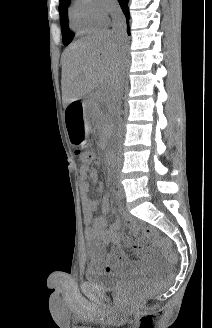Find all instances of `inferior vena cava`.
Returning a JSON list of instances; mask_svg holds the SVG:
<instances>
[{"label": "inferior vena cava", "mask_w": 212, "mask_h": 328, "mask_svg": "<svg viewBox=\"0 0 212 328\" xmlns=\"http://www.w3.org/2000/svg\"><path fill=\"white\" fill-rule=\"evenodd\" d=\"M109 12L112 17V25H113L112 32L119 39H121L123 41L125 38V35H126V20L122 13V10L117 3H113L110 6ZM123 89H124V81H123L122 76L120 75L116 82V85H115V88H114V91L112 94L113 101L116 106V124L118 125L119 140L122 139V133H123V122H122L121 113H120Z\"/></svg>", "instance_id": "1"}]
</instances>
